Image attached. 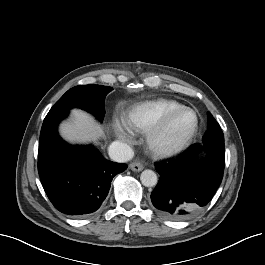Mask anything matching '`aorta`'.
Returning <instances> with one entry per match:
<instances>
[{
  "instance_id": "aorta-1",
  "label": "aorta",
  "mask_w": 265,
  "mask_h": 265,
  "mask_svg": "<svg viewBox=\"0 0 265 265\" xmlns=\"http://www.w3.org/2000/svg\"><path fill=\"white\" fill-rule=\"evenodd\" d=\"M141 183L146 187H154L158 182L157 175L152 170H144L140 176Z\"/></svg>"
}]
</instances>
